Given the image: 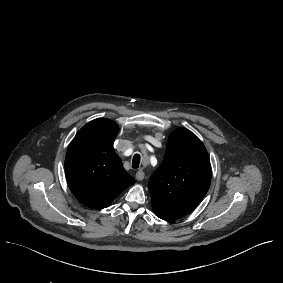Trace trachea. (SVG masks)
<instances>
[{
    "mask_svg": "<svg viewBox=\"0 0 283 283\" xmlns=\"http://www.w3.org/2000/svg\"><path fill=\"white\" fill-rule=\"evenodd\" d=\"M140 161H141V156L139 154H135L133 156L132 168L134 169L139 168Z\"/></svg>",
    "mask_w": 283,
    "mask_h": 283,
    "instance_id": "obj_1",
    "label": "trachea"
}]
</instances>
